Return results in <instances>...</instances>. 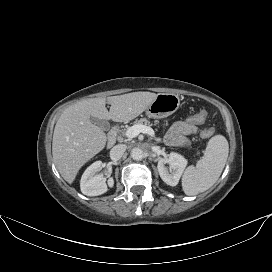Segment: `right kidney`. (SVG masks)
<instances>
[{
	"label": "right kidney",
	"instance_id": "1",
	"mask_svg": "<svg viewBox=\"0 0 272 272\" xmlns=\"http://www.w3.org/2000/svg\"><path fill=\"white\" fill-rule=\"evenodd\" d=\"M102 166L101 161H96L91 164L83 173L80 181V189L84 195L98 196L104 194L109 187L114 186V180L110 177L107 182L103 175L97 174Z\"/></svg>",
	"mask_w": 272,
	"mask_h": 272
}]
</instances>
